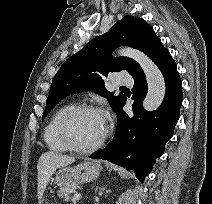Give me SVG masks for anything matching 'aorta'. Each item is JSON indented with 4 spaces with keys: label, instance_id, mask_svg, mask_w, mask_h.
Returning <instances> with one entry per match:
<instances>
[{
    "label": "aorta",
    "instance_id": "obj_1",
    "mask_svg": "<svg viewBox=\"0 0 212 204\" xmlns=\"http://www.w3.org/2000/svg\"><path fill=\"white\" fill-rule=\"evenodd\" d=\"M117 55L131 57L140 64L148 84V93L143 101V108L146 111L156 110L161 105L166 92L164 77L159 68L144 53L132 48H120Z\"/></svg>",
    "mask_w": 212,
    "mask_h": 204
}]
</instances>
